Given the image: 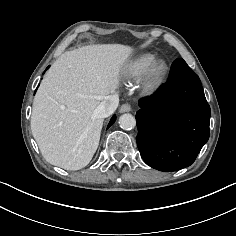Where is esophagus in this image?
<instances>
[{
	"instance_id": "1",
	"label": "esophagus",
	"mask_w": 236,
	"mask_h": 236,
	"mask_svg": "<svg viewBox=\"0 0 236 236\" xmlns=\"http://www.w3.org/2000/svg\"><path fill=\"white\" fill-rule=\"evenodd\" d=\"M129 111H131V106L129 104H123L119 109L120 113L129 112Z\"/></svg>"
}]
</instances>
